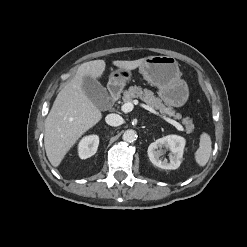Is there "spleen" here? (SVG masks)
I'll return each instance as SVG.
<instances>
[{
    "mask_svg": "<svg viewBox=\"0 0 247 247\" xmlns=\"http://www.w3.org/2000/svg\"><path fill=\"white\" fill-rule=\"evenodd\" d=\"M212 151L211 137L207 133H202L200 136L199 148L195 152V161L203 167L207 164Z\"/></svg>",
    "mask_w": 247,
    "mask_h": 247,
    "instance_id": "1",
    "label": "spleen"
}]
</instances>
